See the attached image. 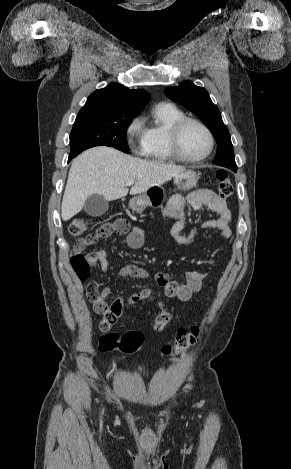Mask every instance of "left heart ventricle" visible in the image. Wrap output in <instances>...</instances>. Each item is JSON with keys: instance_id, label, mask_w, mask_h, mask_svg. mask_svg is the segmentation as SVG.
Instances as JSON below:
<instances>
[{"instance_id": "left-heart-ventricle-1", "label": "left heart ventricle", "mask_w": 291, "mask_h": 469, "mask_svg": "<svg viewBox=\"0 0 291 469\" xmlns=\"http://www.w3.org/2000/svg\"><path fill=\"white\" fill-rule=\"evenodd\" d=\"M209 141L204 130L196 124L185 126L181 134V149L185 156L198 158L208 149Z\"/></svg>"}]
</instances>
